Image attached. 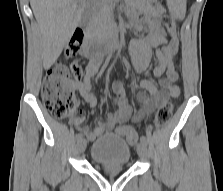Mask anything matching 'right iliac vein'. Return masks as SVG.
<instances>
[{"mask_svg":"<svg viewBox=\"0 0 223 191\" xmlns=\"http://www.w3.org/2000/svg\"><path fill=\"white\" fill-rule=\"evenodd\" d=\"M86 140L84 138H80L78 141H77V149H78V152L79 153H82L84 152L85 148H86Z\"/></svg>","mask_w":223,"mask_h":191,"instance_id":"1","label":"right iliac vein"}]
</instances>
